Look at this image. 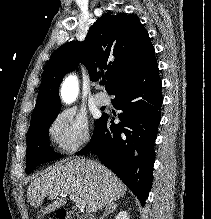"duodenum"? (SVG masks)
<instances>
[{
  "mask_svg": "<svg viewBox=\"0 0 211 219\" xmlns=\"http://www.w3.org/2000/svg\"><path fill=\"white\" fill-rule=\"evenodd\" d=\"M69 213H70V219H91V218H89V217H80V216H78V215H76L75 213H73V212H71V211H68Z\"/></svg>",
  "mask_w": 211,
  "mask_h": 219,
  "instance_id": "duodenum-1",
  "label": "duodenum"
}]
</instances>
